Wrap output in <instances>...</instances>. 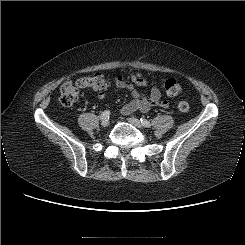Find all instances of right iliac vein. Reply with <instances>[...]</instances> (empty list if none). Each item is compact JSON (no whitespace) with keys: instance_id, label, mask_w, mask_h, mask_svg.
Here are the masks:
<instances>
[{"instance_id":"obj_1","label":"right iliac vein","mask_w":245,"mask_h":245,"mask_svg":"<svg viewBox=\"0 0 245 245\" xmlns=\"http://www.w3.org/2000/svg\"><path fill=\"white\" fill-rule=\"evenodd\" d=\"M101 125L104 126V127H107L109 125V120L106 118V119H103L101 121Z\"/></svg>"}]
</instances>
